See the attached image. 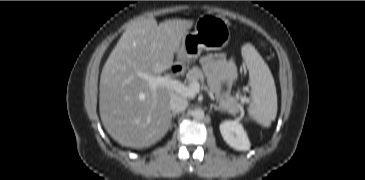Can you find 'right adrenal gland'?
<instances>
[{
	"label": "right adrenal gland",
	"instance_id": "obj_1",
	"mask_svg": "<svg viewBox=\"0 0 365 180\" xmlns=\"http://www.w3.org/2000/svg\"><path fill=\"white\" fill-rule=\"evenodd\" d=\"M176 115H177V113H172L171 117L173 120L176 118ZM173 125H174V123L172 122L170 129H172Z\"/></svg>",
	"mask_w": 365,
	"mask_h": 180
}]
</instances>
